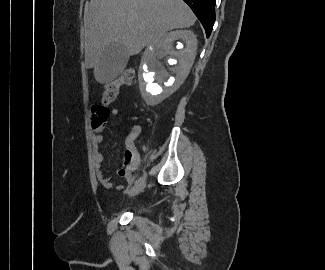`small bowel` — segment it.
Returning <instances> with one entry per match:
<instances>
[{"label":"small bowel","instance_id":"obj_1","mask_svg":"<svg viewBox=\"0 0 325 270\" xmlns=\"http://www.w3.org/2000/svg\"><path fill=\"white\" fill-rule=\"evenodd\" d=\"M119 115L118 109H113L110 111L108 103H95L93 108V119L91 124L92 130V152L94 160V168L96 173V178L98 182L106 189H110L113 186L110 178L105 177L102 172V162L104 156L99 149V145L103 142L102 131L105 127L106 121L110 120V117H117ZM139 135V127L134 126L132 132L128 135L126 139L127 151L123 157V164L117 169V174L123 177L128 185L133 184L134 176L131 171L134 170L138 163V154L134 145V141ZM118 190L124 188L123 184H118Z\"/></svg>","mask_w":325,"mask_h":270}]
</instances>
